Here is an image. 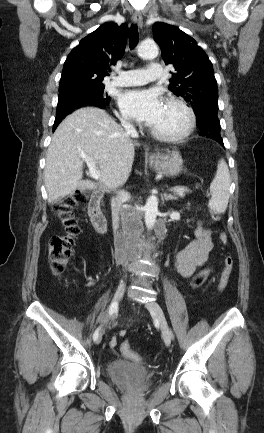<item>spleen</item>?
<instances>
[{
    "label": "spleen",
    "mask_w": 264,
    "mask_h": 433,
    "mask_svg": "<svg viewBox=\"0 0 264 433\" xmlns=\"http://www.w3.org/2000/svg\"><path fill=\"white\" fill-rule=\"evenodd\" d=\"M231 184L228 165L224 159L218 162L217 172L210 184L211 199L209 208L216 213L226 211L229 200V188Z\"/></svg>",
    "instance_id": "obj_1"
}]
</instances>
